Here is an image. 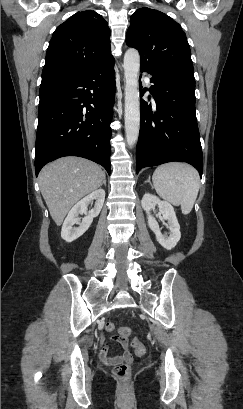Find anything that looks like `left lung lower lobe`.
I'll use <instances>...</instances> for the list:
<instances>
[{
  "label": "left lung lower lobe",
  "mask_w": 243,
  "mask_h": 409,
  "mask_svg": "<svg viewBox=\"0 0 243 409\" xmlns=\"http://www.w3.org/2000/svg\"><path fill=\"white\" fill-rule=\"evenodd\" d=\"M150 82L156 106L152 108L151 104L140 100L136 172L144 167L181 161L193 165L202 176L203 155L195 114L193 69H166L152 74Z\"/></svg>",
  "instance_id": "1"
}]
</instances>
